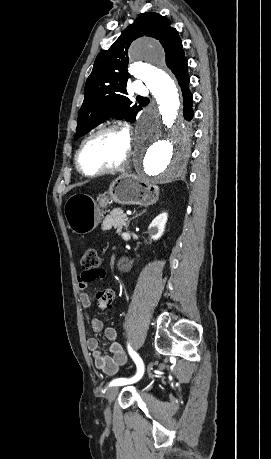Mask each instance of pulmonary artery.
I'll use <instances>...</instances> for the list:
<instances>
[{"label": "pulmonary artery", "mask_w": 271, "mask_h": 459, "mask_svg": "<svg viewBox=\"0 0 271 459\" xmlns=\"http://www.w3.org/2000/svg\"><path fill=\"white\" fill-rule=\"evenodd\" d=\"M136 92L139 97L147 98L149 96V91L145 89L144 84L141 81H138L135 84ZM160 90V89H159ZM158 90V91H159Z\"/></svg>", "instance_id": "pulmonary-artery-1"}]
</instances>
